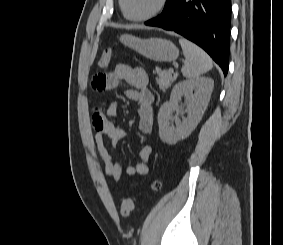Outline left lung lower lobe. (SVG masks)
<instances>
[{
    "label": "left lung lower lobe",
    "mask_w": 283,
    "mask_h": 245,
    "mask_svg": "<svg viewBox=\"0 0 283 245\" xmlns=\"http://www.w3.org/2000/svg\"><path fill=\"white\" fill-rule=\"evenodd\" d=\"M231 0H173L145 25L175 31L203 48L227 75Z\"/></svg>",
    "instance_id": "left-lung-lower-lobe-1"
}]
</instances>
